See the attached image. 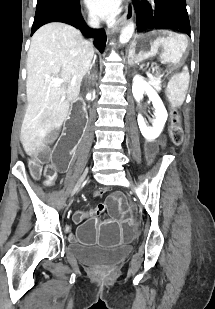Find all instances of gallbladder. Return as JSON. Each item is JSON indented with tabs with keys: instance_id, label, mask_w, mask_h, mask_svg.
<instances>
[{
	"instance_id": "obj_1",
	"label": "gallbladder",
	"mask_w": 215,
	"mask_h": 309,
	"mask_svg": "<svg viewBox=\"0 0 215 309\" xmlns=\"http://www.w3.org/2000/svg\"><path fill=\"white\" fill-rule=\"evenodd\" d=\"M49 142H52V139H49Z\"/></svg>"
}]
</instances>
